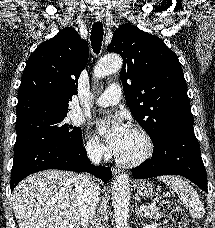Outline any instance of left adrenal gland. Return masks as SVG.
Returning a JSON list of instances; mask_svg holds the SVG:
<instances>
[{"instance_id": "obj_1", "label": "left adrenal gland", "mask_w": 215, "mask_h": 228, "mask_svg": "<svg viewBox=\"0 0 215 228\" xmlns=\"http://www.w3.org/2000/svg\"><path fill=\"white\" fill-rule=\"evenodd\" d=\"M135 212H136L137 218H146V216H144L142 210H140L138 204H135Z\"/></svg>"}]
</instances>
